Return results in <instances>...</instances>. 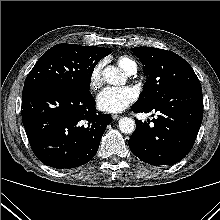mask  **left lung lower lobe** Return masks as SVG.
<instances>
[{
    "mask_svg": "<svg viewBox=\"0 0 220 220\" xmlns=\"http://www.w3.org/2000/svg\"><path fill=\"white\" fill-rule=\"evenodd\" d=\"M131 110L159 113L152 120L154 125L135 119L136 129L128 142L132 153L151 165H173L190 152L196 140L203 118L202 88L188 86L154 104H134Z\"/></svg>",
    "mask_w": 220,
    "mask_h": 220,
    "instance_id": "left-lung-lower-lobe-1",
    "label": "left lung lower lobe"
}]
</instances>
